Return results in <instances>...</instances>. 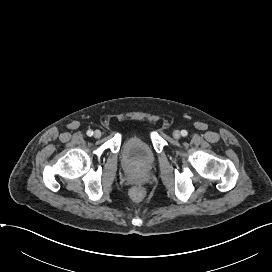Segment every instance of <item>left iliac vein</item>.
<instances>
[{"label":"left iliac vein","mask_w":272,"mask_h":272,"mask_svg":"<svg viewBox=\"0 0 272 272\" xmlns=\"http://www.w3.org/2000/svg\"><path fill=\"white\" fill-rule=\"evenodd\" d=\"M180 132L178 131V130H175L174 132H173V137L175 138V139H179L180 138Z\"/></svg>","instance_id":"left-iliac-vein-1"}]
</instances>
